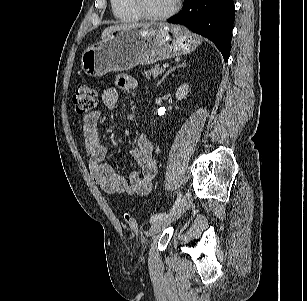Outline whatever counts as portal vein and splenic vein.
Returning <instances> with one entry per match:
<instances>
[{
	"label": "portal vein and splenic vein",
	"instance_id": "18ae733b",
	"mask_svg": "<svg viewBox=\"0 0 307 301\" xmlns=\"http://www.w3.org/2000/svg\"><path fill=\"white\" fill-rule=\"evenodd\" d=\"M169 67V64H167V63H165L164 65H163V68L164 69H166V68H168Z\"/></svg>",
	"mask_w": 307,
	"mask_h": 301
}]
</instances>
